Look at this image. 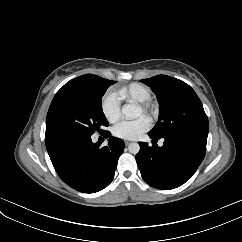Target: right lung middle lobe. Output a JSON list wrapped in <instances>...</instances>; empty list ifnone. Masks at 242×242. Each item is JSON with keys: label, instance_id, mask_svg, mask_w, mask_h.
I'll return each mask as SVG.
<instances>
[{"label": "right lung middle lobe", "instance_id": "right-lung-middle-lobe-1", "mask_svg": "<svg viewBox=\"0 0 242 242\" xmlns=\"http://www.w3.org/2000/svg\"><path fill=\"white\" fill-rule=\"evenodd\" d=\"M115 81H107L93 89L61 88L54 96L46 118V136L68 131L92 135L108 126L101 105L107 88Z\"/></svg>", "mask_w": 242, "mask_h": 242}]
</instances>
